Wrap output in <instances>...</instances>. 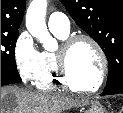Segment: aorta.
<instances>
[{
	"label": "aorta",
	"instance_id": "1",
	"mask_svg": "<svg viewBox=\"0 0 123 113\" xmlns=\"http://www.w3.org/2000/svg\"><path fill=\"white\" fill-rule=\"evenodd\" d=\"M47 0H32L26 13V27L30 34L38 39L47 51L57 49L56 40L48 32L45 15Z\"/></svg>",
	"mask_w": 123,
	"mask_h": 113
}]
</instances>
